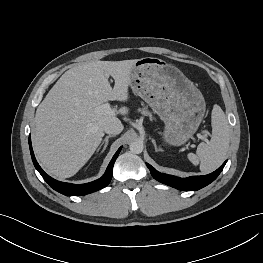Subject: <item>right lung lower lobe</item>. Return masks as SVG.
I'll return each mask as SVG.
<instances>
[{
	"instance_id": "obj_1",
	"label": "right lung lower lobe",
	"mask_w": 263,
	"mask_h": 263,
	"mask_svg": "<svg viewBox=\"0 0 263 263\" xmlns=\"http://www.w3.org/2000/svg\"><path fill=\"white\" fill-rule=\"evenodd\" d=\"M29 147H30V153H31V157H32V161L34 163L35 168L38 170V172L41 174V176L43 177V179L56 191H58L59 193H62L64 195L67 196H81V195H86L95 191H98L100 189L105 188L111 181L112 178V174H113V165L115 163L116 158L118 157L120 150L122 147H120L118 149V151L115 153V155L113 156L111 162L109 163L105 174L99 178L98 180H95L93 182L90 183H86V184H71V183H65V182H60L57 181L55 179H53L52 177H50L49 175H47L42 168L39 166V164L37 163L34 153H33V149H32V145H31V138L29 136Z\"/></svg>"
}]
</instances>
